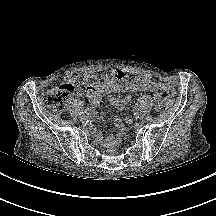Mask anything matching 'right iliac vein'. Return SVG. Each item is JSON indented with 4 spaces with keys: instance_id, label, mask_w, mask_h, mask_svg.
<instances>
[{
    "instance_id": "63e3f726",
    "label": "right iliac vein",
    "mask_w": 216,
    "mask_h": 216,
    "mask_svg": "<svg viewBox=\"0 0 216 216\" xmlns=\"http://www.w3.org/2000/svg\"><path fill=\"white\" fill-rule=\"evenodd\" d=\"M80 119L82 121H86L87 120V116L85 114H83V115L80 116Z\"/></svg>"
}]
</instances>
